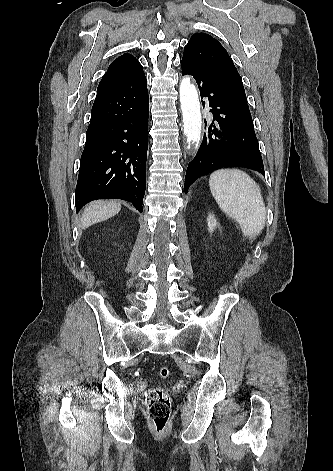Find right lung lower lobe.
I'll return each mask as SVG.
<instances>
[{
	"mask_svg": "<svg viewBox=\"0 0 333 471\" xmlns=\"http://www.w3.org/2000/svg\"><path fill=\"white\" fill-rule=\"evenodd\" d=\"M149 97L144 72L94 101L75 191L77 211L96 199H123L142 212Z\"/></svg>",
	"mask_w": 333,
	"mask_h": 471,
	"instance_id": "right-lung-lower-lobe-1",
	"label": "right lung lower lobe"
}]
</instances>
